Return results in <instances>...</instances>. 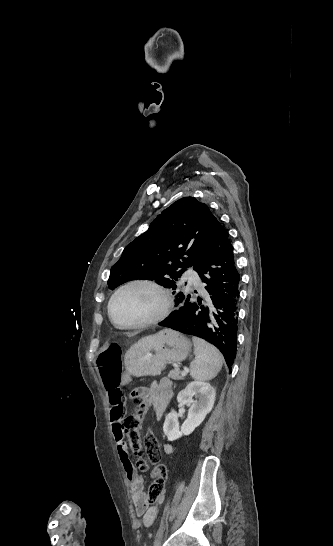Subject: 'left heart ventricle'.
Returning a JSON list of instances; mask_svg holds the SVG:
<instances>
[{
  "instance_id": "b2bd125f",
  "label": "left heart ventricle",
  "mask_w": 333,
  "mask_h": 546,
  "mask_svg": "<svg viewBox=\"0 0 333 546\" xmlns=\"http://www.w3.org/2000/svg\"><path fill=\"white\" fill-rule=\"evenodd\" d=\"M160 306V297L147 287H131L116 298L112 313L117 323L134 324L153 315Z\"/></svg>"
}]
</instances>
